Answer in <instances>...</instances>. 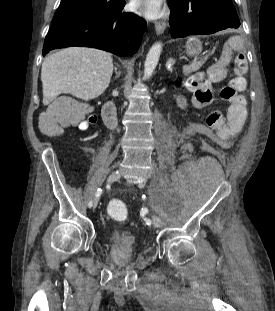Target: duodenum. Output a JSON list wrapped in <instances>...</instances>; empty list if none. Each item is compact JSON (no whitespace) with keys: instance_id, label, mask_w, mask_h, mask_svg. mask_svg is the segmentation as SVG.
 I'll list each match as a JSON object with an SVG mask.
<instances>
[{"instance_id":"1","label":"duodenum","mask_w":275,"mask_h":311,"mask_svg":"<svg viewBox=\"0 0 275 311\" xmlns=\"http://www.w3.org/2000/svg\"><path fill=\"white\" fill-rule=\"evenodd\" d=\"M102 117L104 124L112 129L117 124V109L114 103L107 102L102 108Z\"/></svg>"}]
</instances>
